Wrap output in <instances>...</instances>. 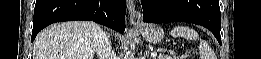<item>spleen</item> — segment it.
I'll return each instance as SVG.
<instances>
[{
    "label": "spleen",
    "mask_w": 261,
    "mask_h": 59,
    "mask_svg": "<svg viewBox=\"0 0 261 59\" xmlns=\"http://www.w3.org/2000/svg\"><path fill=\"white\" fill-rule=\"evenodd\" d=\"M173 37H181L186 40H199V50L201 59H213V51L208 43L199 37V34L188 26H178L171 31Z\"/></svg>",
    "instance_id": "spleen-1"
}]
</instances>
